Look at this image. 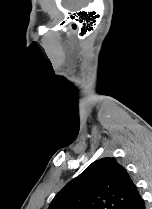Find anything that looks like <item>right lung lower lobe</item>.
Listing matches in <instances>:
<instances>
[{"label":"right lung lower lobe","instance_id":"98d812e1","mask_svg":"<svg viewBox=\"0 0 152 209\" xmlns=\"http://www.w3.org/2000/svg\"><path fill=\"white\" fill-rule=\"evenodd\" d=\"M124 209H145V203L139 192H137L130 203Z\"/></svg>","mask_w":152,"mask_h":209}]
</instances>
